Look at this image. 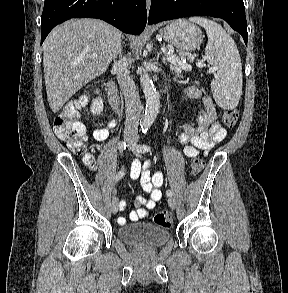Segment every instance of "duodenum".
Returning <instances> with one entry per match:
<instances>
[{
	"mask_svg": "<svg viewBox=\"0 0 288 293\" xmlns=\"http://www.w3.org/2000/svg\"><path fill=\"white\" fill-rule=\"evenodd\" d=\"M107 93H108L110 103L115 107L119 106L121 103L122 97L113 81H109L107 83Z\"/></svg>",
	"mask_w": 288,
	"mask_h": 293,
	"instance_id": "duodenum-1",
	"label": "duodenum"
}]
</instances>
